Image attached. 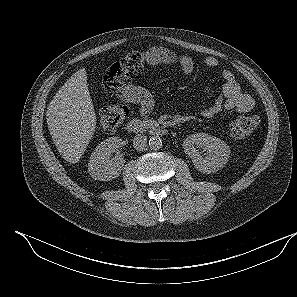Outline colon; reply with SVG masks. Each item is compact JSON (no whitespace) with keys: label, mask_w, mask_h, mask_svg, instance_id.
I'll return each mask as SVG.
<instances>
[{"label":"colon","mask_w":297,"mask_h":297,"mask_svg":"<svg viewBox=\"0 0 297 297\" xmlns=\"http://www.w3.org/2000/svg\"><path fill=\"white\" fill-rule=\"evenodd\" d=\"M146 55L143 51H130L122 58L113 62L105 71L102 83L106 90L121 89L126 85L130 75L144 68ZM127 108L123 105L104 107L99 115V129L103 132L115 131L127 117ZM259 116L245 114L229 125V137L232 140H242L249 136L259 124Z\"/></svg>","instance_id":"1"}]
</instances>
